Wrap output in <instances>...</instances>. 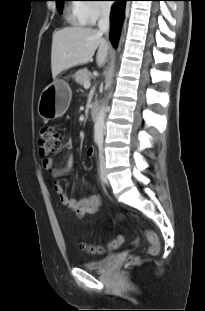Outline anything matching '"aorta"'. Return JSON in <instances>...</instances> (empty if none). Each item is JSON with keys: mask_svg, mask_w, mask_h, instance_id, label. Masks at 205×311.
Here are the masks:
<instances>
[{"mask_svg": "<svg viewBox=\"0 0 205 311\" xmlns=\"http://www.w3.org/2000/svg\"><path fill=\"white\" fill-rule=\"evenodd\" d=\"M112 76H113V69L110 70L108 86L111 85ZM106 111H107V100L102 103V105H101V107H100V109H99V111L97 113V116L95 118V123H94V140L96 142H103Z\"/></svg>", "mask_w": 205, "mask_h": 311, "instance_id": "1", "label": "aorta"}]
</instances>
